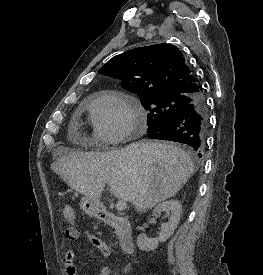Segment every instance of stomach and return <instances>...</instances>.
Instances as JSON below:
<instances>
[{
    "label": "stomach",
    "instance_id": "0dacf381",
    "mask_svg": "<svg viewBox=\"0 0 263 275\" xmlns=\"http://www.w3.org/2000/svg\"><path fill=\"white\" fill-rule=\"evenodd\" d=\"M80 208L92 217H99L101 212V204L98 199L83 197L80 201Z\"/></svg>",
    "mask_w": 263,
    "mask_h": 275
}]
</instances>
